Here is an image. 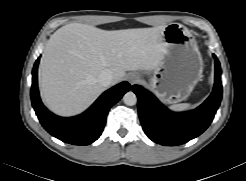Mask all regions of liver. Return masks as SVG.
<instances>
[{
	"mask_svg": "<svg viewBox=\"0 0 246 181\" xmlns=\"http://www.w3.org/2000/svg\"><path fill=\"white\" fill-rule=\"evenodd\" d=\"M165 27L106 31L71 23L48 40L39 66V87L54 113L71 116L88 108L102 93L99 74L109 69L113 83L126 71H152L166 52Z\"/></svg>",
	"mask_w": 246,
	"mask_h": 181,
	"instance_id": "obj_1",
	"label": "liver"
}]
</instances>
